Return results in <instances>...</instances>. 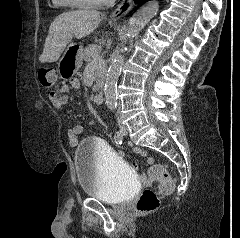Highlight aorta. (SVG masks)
I'll use <instances>...</instances> for the list:
<instances>
[{
	"label": "aorta",
	"mask_w": 240,
	"mask_h": 238,
	"mask_svg": "<svg viewBox=\"0 0 240 238\" xmlns=\"http://www.w3.org/2000/svg\"><path fill=\"white\" fill-rule=\"evenodd\" d=\"M159 9L158 0H150L130 18L128 28L129 44L137 37L142 28L154 17ZM128 51V47H124L121 53L116 55L108 69L105 82V101L110 110H114L117 105V82L124 63V54Z\"/></svg>",
	"instance_id": "762f6f07"
}]
</instances>
